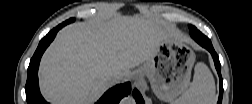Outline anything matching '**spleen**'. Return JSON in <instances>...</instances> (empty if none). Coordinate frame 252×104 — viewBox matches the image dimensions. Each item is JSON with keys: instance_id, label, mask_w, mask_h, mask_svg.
Masks as SVG:
<instances>
[{"instance_id": "3e777b00", "label": "spleen", "mask_w": 252, "mask_h": 104, "mask_svg": "<svg viewBox=\"0 0 252 104\" xmlns=\"http://www.w3.org/2000/svg\"><path fill=\"white\" fill-rule=\"evenodd\" d=\"M216 101L214 78L203 63L194 68L193 81L189 88L176 100L177 104H212Z\"/></svg>"}]
</instances>
